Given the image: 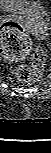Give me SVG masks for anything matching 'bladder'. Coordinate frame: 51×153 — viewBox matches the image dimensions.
Masks as SVG:
<instances>
[{"instance_id": "bladder-1", "label": "bladder", "mask_w": 51, "mask_h": 153, "mask_svg": "<svg viewBox=\"0 0 51 153\" xmlns=\"http://www.w3.org/2000/svg\"><path fill=\"white\" fill-rule=\"evenodd\" d=\"M0 7L7 13L43 17L46 14L44 5L39 0H0Z\"/></svg>"}]
</instances>
